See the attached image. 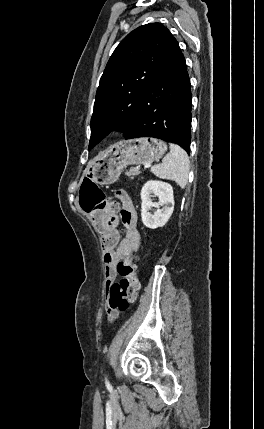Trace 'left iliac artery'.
Listing matches in <instances>:
<instances>
[{
	"instance_id": "left-iliac-artery-1",
	"label": "left iliac artery",
	"mask_w": 264,
	"mask_h": 429,
	"mask_svg": "<svg viewBox=\"0 0 264 429\" xmlns=\"http://www.w3.org/2000/svg\"><path fill=\"white\" fill-rule=\"evenodd\" d=\"M106 384L109 385V382L107 381V379H106Z\"/></svg>"
}]
</instances>
